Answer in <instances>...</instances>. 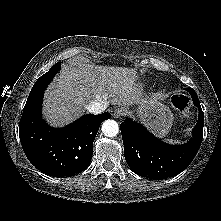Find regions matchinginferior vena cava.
<instances>
[{
    "label": "inferior vena cava",
    "mask_w": 221,
    "mask_h": 221,
    "mask_svg": "<svg viewBox=\"0 0 221 221\" xmlns=\"http://www.w3.org/2000/svg\"><path fill=\"white\" fill-rule=\"evenodd\" d=\"M107 108V103L104 102H92L86 106V109L93 114H100Z\"/></svg>",
    "instance_id": "inferior-vena-cava-1"
}]
</instances>
